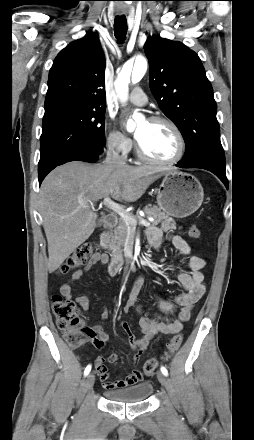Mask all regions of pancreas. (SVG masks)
<instances>
[{
	"label": "pancreas",
	"mask_w": 254,
	"mask_h": 440,
	"mask_svg": "<svg viewBox=\"0 0 254 440\" xmlns=\"http://www.w3.org/2000/svg\"><path fill=\"white\" fill-rule=\"evenodd\" d=\"M144 213L148 217H153L152 225H160V229L164 232H173L176 229V223L173 218L169 217L167 214L161 211L157 206L148 205L143 209ZM132 215V214H131ZM134 218L141 219L139 214L132 215ZM129 228L133 231V226L127 225L122 219L119 220L117 227L105 233L101 237V245L111 251V257L121 258L122 257V247L128 237Z\"/></svg>",
	"instance_id": "1"
}]
</instances>
